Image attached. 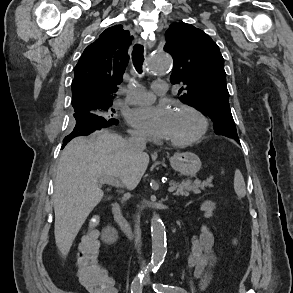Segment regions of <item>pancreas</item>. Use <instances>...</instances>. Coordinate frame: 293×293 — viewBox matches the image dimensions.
<instances>
[{
	"label": "pancreas",
	"mask_w": 293,
	"mask_h": 293,
	"mask_svg": "<svg viewBox=\"0 0 293 293\" xmlns=\"http://www.w3.org/2000/svg\"><path fill=\"white\" fill-rule=\"evenodd\" d=\"M170 186H173L175 188V192L173 195L175 196H189L190 192H193L194 194L201 193V190H205L206 187H211V180L207 179L205 181H201L199 179H196L194 181L192 180H184L181 183L177 182H170Z\"/></svg>",
	"instance_id": "1"
}]
</instances>
